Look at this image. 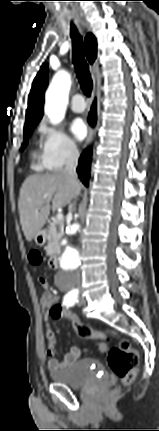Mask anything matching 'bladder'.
<instances>
[{
    "mask_svg": "<svg viewBox=\"0 0 159 431\" xmlns=\"http://www.w3.org/2000/svg\"><path fill=\"white\" fill-rule=\"evenodd\" d=\"M49 374L55 383L73 389L84 387L98 379L108 377L105 366L100 361L92 358L80 359L67 367L51 369Z\"/></svg>",
    "mask_w": 159,
    "mask_h": 431,
    "instance_id": "1",
    "label": "bladder"
}]
</instances>
